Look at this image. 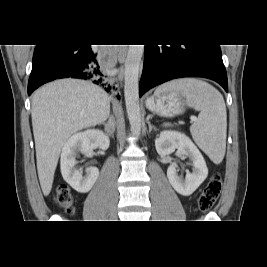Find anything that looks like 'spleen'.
Here are the masks:
<instances>
[{"label":"spleen","mask_w":267,"mask_h":267,"mask_svg":"<svg viewBox=\"0 0 267 267\" xmlns=\"http://www.w3.org/2000/svg\"><path fill=\"white\" fill-rule=\"evenodd\" d=\"M179 91L188 106L200 111L198 120L190 127L195 143L215 163L222 162L226 151L227 113L222 94L209 83L184 78L163 84L156 94Z\"/></svg>","instance_id":"obj_1"}]
</instances>
